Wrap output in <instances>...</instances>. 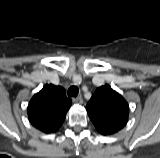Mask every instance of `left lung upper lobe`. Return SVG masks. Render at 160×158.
<instances>
[{
  "label": "left lung upper lobe",
  "mask_w": 160,
  "mask_h": 158,
  "mask_svg": "<svg viewBox=\"0 0 160 158\" xmlns=\"http://www.w3.org/2000/svg\"><path fill=\"white\" fill-rule=\"evenodd\" d=\"M95 128L103 134H114L128 121L129 106L108 84L96 89L86 106Z\"/></svg>",
  "instance_id": "left-lung-upper-lobe-1"
}]
</instances>
